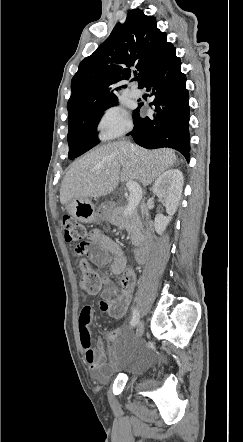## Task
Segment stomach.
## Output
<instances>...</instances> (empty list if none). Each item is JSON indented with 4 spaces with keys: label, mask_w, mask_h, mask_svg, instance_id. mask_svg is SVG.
Here are the masks:
<instances>
[{
    "label": "stomach",
    "mask_w": 243,
    "mask_h": 442,
    "mask_svg": "<svg viewBox=\"0 0 243 442\" xmlns=\"http://www.w3.org/2000/svg\"><path fill=\"white\" fill-rule=\"evenodd\" d=\"M66 209L71 216L80 222L91 223L102 218L89 198L74 199L67 204ZM105 212L106 209L103 208V215Z\"/></svg>",
    "instance_id": "0dacf381"
}]
</instances>
